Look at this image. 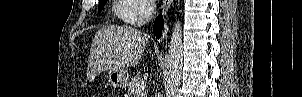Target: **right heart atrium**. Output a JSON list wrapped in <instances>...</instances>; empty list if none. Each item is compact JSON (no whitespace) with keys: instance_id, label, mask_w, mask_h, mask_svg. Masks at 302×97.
Masks as SVG:
<instances>
[{"instance_id":"d8ad5b80","label":"right heart atrium","mask_w":302,"mask_h":97,"mask_svg":"<svg viewBox=\"0 0 302 97\" xmlns=\"http://www.w3.org/2000/svg\"><path fill=\"white\" fill-rule=\"evenodd\" d=\"M135 9L131 16L130 22L136 25H142L146 23L153 14V5L147 0H131Z\"/></svg>"}]
</instances>
